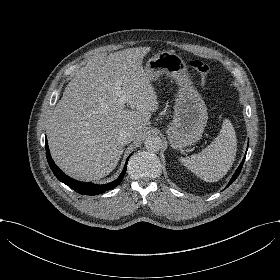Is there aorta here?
Listing matches in <instances>:
<instances>
[{"label":"aorta","mask_w":280,"mask_h":280,"mask_svg":"<svg viewBox=\"0 0 280 280\" xmlns=\"http://www.w3.org/2000/svg\"><path fill=\"white\" fill-rule=\"evenodd\" d=\"M145 148L150 152H156L162 147V140L158 135H148L144 141Z\"/></svg>","instance_id":"1"}]
</instances>
